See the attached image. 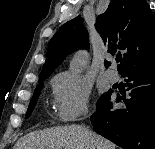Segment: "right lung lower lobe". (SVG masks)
<instances>
[{
	"label": "right lung lower lobe",
	"instance_id": "obj_1",
	"mask_svg": "<svg viewBox=\"0 0 155 149\" xmlns=\"http://www.w3.org/2000/svg\"><path fill=\"white\" fill-rule=\"evenodd\" d=\"M121 75L129 78V97H117L125 107L111 110L109 98L98 102L90 118L94 131L123 149H155V64L131 67Z\"/></svg>",
	"mask_w": 155,
	"mask_h": 149
}]
</instances>
